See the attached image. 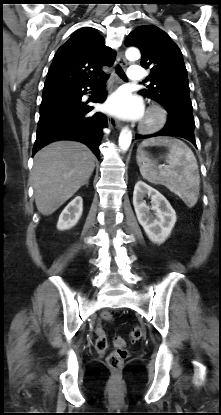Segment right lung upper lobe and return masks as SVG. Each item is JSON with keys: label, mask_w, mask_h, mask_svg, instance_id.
Segmentation results:
<instances>
[{"label": "right lung upper lobe", "mask_w": 221, "mask_h": 415, "mask_svg": "<svg viewBox=\"0 0 221 415\" xmlns=\"http://www.w3.org/2000/svg\"><path fill=\"white\" fill-rule=\"evenodd\" d=\"M112 49L93 28L85 27L72 34L56 52L44 89L76 86L96 81L103 66H112Z\"/></svg>", "instance_id": "1"}]
</instances>
